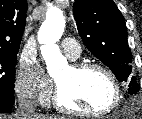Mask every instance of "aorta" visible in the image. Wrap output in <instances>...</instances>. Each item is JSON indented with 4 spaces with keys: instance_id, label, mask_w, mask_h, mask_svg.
<instances>
[{
    "instance_id": "obj_1",
    "label": "aorta",
    "mask_w": 142,
    "mask_h": 119,
    "mask_svg": "<svg viewBox=\"0 0 142 119\" xmlns=\"http://www.w3.org/2000/svg\"><path fill=\"white\" fill-rule=\"evenodd\" d=\"M64 28L65 20L62 10L52 8L47 12L46 20L42 23L38 32V41L42 44L41 54L46 61L50 75L67 66V60L56 44L64 32Z\"/></svg>"
}]
</instances>
